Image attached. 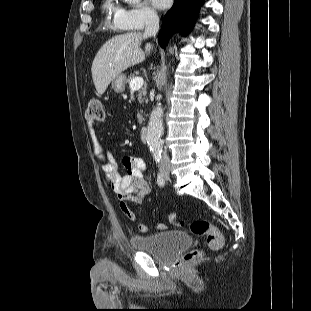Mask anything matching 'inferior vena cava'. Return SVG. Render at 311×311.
I'll return each instance as SVG.
<instances>
[{"label": "inferior vena cava", "instance_id": "obj_1", "mask_svg": "<svg viewBox=\"0 0 311 311\" xmlns=\"http://www.w3.org/2000/svg\"><path fill=\"white\" fill-rule=\"evenodd\" d=\"M159 31V18L155 13H148L145 19V31L144 35L146 37L156 36ZM161 166H169L170 159L166 152H163L160 159Z\"/></svg>", "mask_w": 311, "mask_h": 311}]
</instances>
